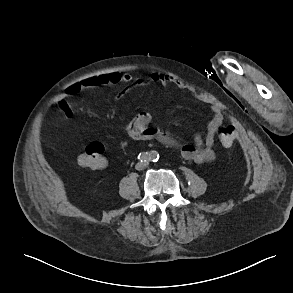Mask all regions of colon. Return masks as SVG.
<instances>
[{
  "label": "colon",
  "mask_w": 293,
  "mask_h": 293,
  "mask_svg": "<svg viewBox=\"0 0 293 293\" xmlns=\"http://www.w3.org/2000/svg\"><path fill=\"white\" fill-rule=\"evenodd\" d=\"M217 135L220 143L224 147H229L235 139V129L231 125L223 126L218 129ZM78 164L83 168L99 170L106 166L104 157V145L101 142H90L84 151L78 156Z\"/></svg>",
  "instance_id": "1"
}]
</instances>
